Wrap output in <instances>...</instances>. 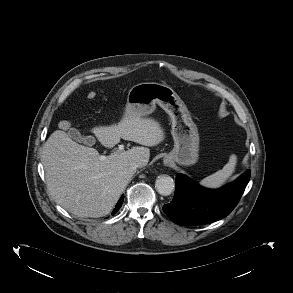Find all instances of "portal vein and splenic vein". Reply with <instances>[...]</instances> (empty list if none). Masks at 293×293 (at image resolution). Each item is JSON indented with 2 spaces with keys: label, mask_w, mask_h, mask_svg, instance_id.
Masks as SVG:
<instances>
[{
  "label": "portal vein and splenic vein",
  "mask_w": 293,
  "mask_h": 293,
  "mask_svg": "<svg viewBox=\"0 0 293 293\" xmlns=\"http://www.w3.org/2000/svg\"><path fill=\"white\" fill-rule=\"evenodd\" d=\"M124 149V145H119L118 146V151H122ZM107 158V156H101L100 160H105Z\"/></svg>",
  "instance_id": "18ae733b"
}]
</instances>
